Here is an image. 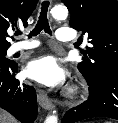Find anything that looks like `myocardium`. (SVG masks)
Segmentation results:
<instances>
[{
	"instance_id": "myocardium-1",
	"label": "myocardium",
	"mask_w": 118,
	"mask_h": 123,
	"mask_svg": "<svg viewBox=\"0 0 118 123\" xmlns=\"http://www.w3.org/2000/svg\"><path fill=\"white\" fill-rule=\"evenodd\" d=\"M79 93V88L78 87H72L68 90L67 96L70 98H74L78 95Z\"/></svg>"
}]
</instances>
